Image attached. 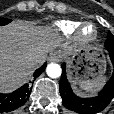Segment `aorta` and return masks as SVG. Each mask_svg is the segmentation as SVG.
I'll return each instance as SVG.
<instances>
[{"label":"aorta","instance_id":"762f6f07","mask_svg":"<svg viewBox=\"0 0 114 114\" xmlns=\"http://www.w3.org/2000/svg\"><path fill=\"white\" fill-rule=\"evenodd\" d=\"M47 75L51 78H58L61 76V67L56 63H51L46 68Z\"/></svg>","mask_w":114,"mask_h":114}]
</instances>
